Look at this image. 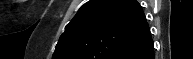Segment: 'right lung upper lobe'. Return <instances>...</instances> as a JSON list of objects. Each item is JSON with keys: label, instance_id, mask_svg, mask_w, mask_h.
<instances>
[{"label": "right lung upper lobe", "instance_id": "cb5924a9", "mask_svg": "<svg viewBox=\"0 0 193 59\" xmlns=\"http://www.w3.org/2000/svg\"><path fill=\"white\" fill-rule=\"evenodd\" d=\"M151 39L136 0H90L65 27L52 59H125Z\"/></svg>", "mask_w": 193, "mask_h": 59}]
</instances>
